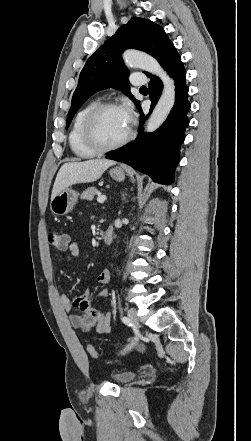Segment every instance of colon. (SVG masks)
I'll return each instance as SVG.
<instances>
[{"label":"colon","mask_w":251,"mask_h":441,"mask_svg":"<svg viewBox=\"0 0 251 441\" xmlns=\"http://www.w3.org/2000/svg\"><path fill=\"white\" fill-rule=\"evenodd\" d=\"M48 239L51 246L57 250H65L69 245V236L61 231H51ZM87 350L92 357L98 356V351L95 346L88 345Z\"/></svg>","instance_id":"5ec220e1"}]
</instances>
